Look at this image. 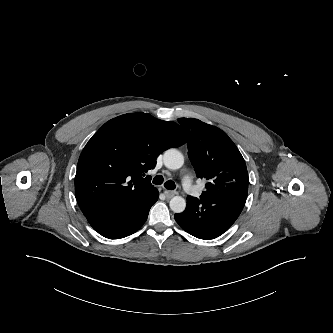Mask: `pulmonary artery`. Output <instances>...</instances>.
Masks as SVG:
<instances>
[{"label":"pulmonary artery","instance_id":"e3ab8cb5","mask_svg":"<svg viewBox=\"0 0 333 333\" xmlns=\"http://www.w3.org/2000/svg\"><path fill=\"white\" fill-rule=\"evenodd\" d=\"M183 188L187 193L194 194L197 192V187L193 184L190 175L186 174L182 178Z\"/></svg>","mask_w":333,"mask_h":333}]
</instances>
